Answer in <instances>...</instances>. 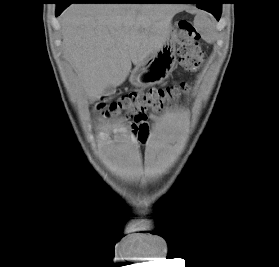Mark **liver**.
<instances>
[{
	"instance_id": "liver-1",
	"label": "liver",
	"mask_w": 279,
	"mask_h": 267,
	"mask_svg": "<svg viewBox=\"0 0 279 267\" xmlns=\"http://www.w3.org/2000/svg\"><path fill=\"white\" fill-rule=\"evenodd\" d=\"M185 7L171 4H74L62 15L64 56L89 101L106 87L121 85L136 66L169 37L174 15Z\"/></svg>"
}]
</instances>
